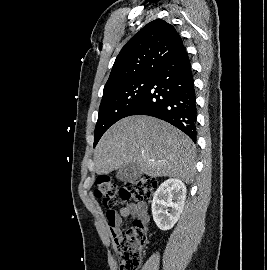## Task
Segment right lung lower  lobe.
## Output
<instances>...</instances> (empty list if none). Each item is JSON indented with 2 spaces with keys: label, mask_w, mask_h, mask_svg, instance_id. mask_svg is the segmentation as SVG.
<instances>
[{
  "label": "right lung lower lobe",
  "mask_w": 267,
  "mask_h": 270,
  "mask_svg": "<svg viewBox=\"0 0 267 270\" xmlns=\"http://www.w3.org/2000/svg\"><path fill=\"white\" fill-rule=\"evenodd\" d=\"M196 97L188 54L184 46L153 75L142 99L127 113L149 115L174 125L196 141Z\"/></svg>",
  "instance_id": "right-lung-lower-lobe-1"
}]
</instances>
